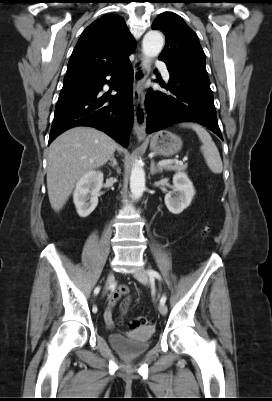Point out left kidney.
<instances>
[{"label":"left kidney","instance_id":"5707ae66","mask_svg":"<svg viewBox=\"0 0 272 401\" xmlns=\"http://www.w3.org/2000/svg\"><path fill=\"white\" fill-rule=\"evenodd\" d=\"M195 195L192 182L185 173L173 176V190L165 195V205L173 214H180L190 204Z\"/></svg>","mask_w":272,"mask_h":401}]
</instances>
